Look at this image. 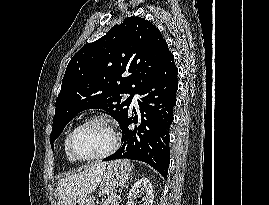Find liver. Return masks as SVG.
<instances>
[{"mask_svg":"<svg viewBox=\"0 0 269 205\" xmlns=\"http://www.w3.org/2000/svg\"><path fill=\"white\" fill-rule=\"evenodd\" d=\"M107 162L93 163L77 174L62 178L57 183L61 205H71L79 198L92 193L101 183Z\"/></svg>","mask_w":269,"mask_h":205,"instance_id":"6515ba94","label":"liver"}]
</instances>
